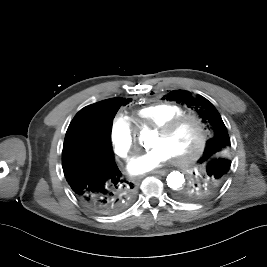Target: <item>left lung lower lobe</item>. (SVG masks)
<instances>
[{
  "mask_svg": "<svg viewBox=\"0 0 267 267\" xmlns=\"http://www.w3.org/2000/svg\"><path fill=\"white\" fill-rule=\"evenodd\" d=\"M231 168L232 161L224 153H207L194 159L190 181L177 190V201L190 204L211 200L224 190Z\"/></svg>",
  "mask_w": 267,
  "mask_h": 267,
  "instance_id": "1",
  "label": "left lung lower lobe"
}]
</instances>
